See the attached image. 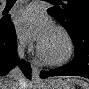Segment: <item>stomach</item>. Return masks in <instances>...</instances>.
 Masks as SVG:
<instances>
[{
  "label": "stomach",
  "mask_w": 89,
  "mask_h": 89,
  "mask_svg": "<svg viewBox=\"0 0 89 89\" xmlns=\"http://www.w3.org/2000/svg\"><path fill=\"white\" fill-rule=\"evenodd\" d=\"M41 89H75L68 81L52 79L51 81L40 86Z\"/></svg>",
  "instance_id": "stomach-1"
}]
</instances>
